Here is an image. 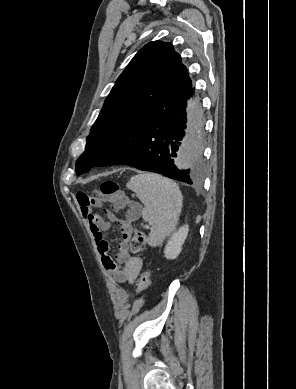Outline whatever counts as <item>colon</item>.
<instances>
[{
	"label": "colon",
	"instance_id": "colon-1",
	"mask_svg": "<svg viewBox=\"0 0 296 389\" xmlns=\"http://www.w3.org/2000/svg\"><path fill=\"white\" fill-rule=\"evenodd\" d=\"M101 198L105 202H109L112 206L119 204L123 196L120 191L119 185L112 180H106L100 187ZM146 235L142 230H135L133 233L129 247L132 253H140L145 249ZM151 285V275L149 270H145L141 273L138 280V292L143 293Z\"/></svg>",
	"mask_w": 296,
	"mask_h": 389
}]
</instances>
